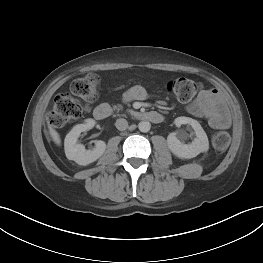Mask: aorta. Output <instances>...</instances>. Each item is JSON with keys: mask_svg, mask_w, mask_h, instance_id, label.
I'll list each match as a JSON object with an SVG mask.
<instances>
[{"mask_svg": "<svg viewBox=\"0 0 263 263\" xmlns=\"http://www.w3.org/2000/svg\"><path fill=\"white\" fill-rule=\"evenodd\" d=\"M138 128L141 132H148L151 128V124L148 122V121H141L139 124H138Z\"/></svg>", "mask_w": 263, "mask_h": 263, "instance_id": "762f6f07", "label": "aorta"}]
</instances>
